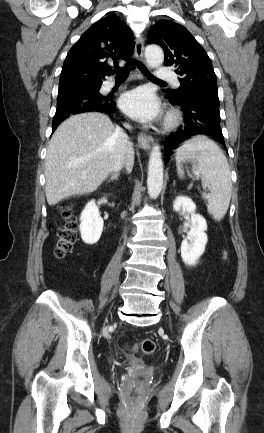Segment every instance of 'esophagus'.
<instances>
[{"label": "esophagus", "instance_id": "34e87169", "mask_svg": "<svg viewBox=\"0 0 264 433\" xmlns=\"http://www.w3.org/2000/svg\"><path fill=\"white\" fill-rule=\"evenodd\" d=\"M135 56L138 60L144 62V40L138 38L135 44ZM152 142V137L145 133H139L137 136L138 146L144 150H149Z\"/></svg>", "mask_w": 264, "mask_h": 433}]
</instances>
